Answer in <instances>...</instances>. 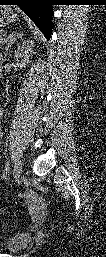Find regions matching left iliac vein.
Here are the masks:
<instances>
[{
	"label": "left iliac vein",
	"instance_id": "4c4485c4",
	"mask_svg": "<svg viewBox=\"0 0 106 257\" xmlns=\"http://www.w3.org/2000/svg\"><path fill=\"white\" fill-rule=\"evenodd\" d=\"M22 167L19 162L15 163L14 169H13V175L15 181H19L21 177Z\"/></svg>",
	"mask_w": 106,
	"mask_h": 257
}]
</instances>
